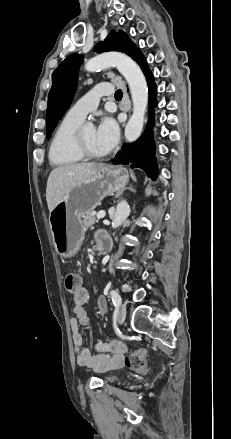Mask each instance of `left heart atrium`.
<instances>
[{
    "label": "left heart atrium",
    "mask_w": 231,
    "mask_h": 439,
    "mask_svg": "<svg viewBox=\"0 0 231 439\" xmlns=\"http://www.w3.org/2000/svg\"><path fill=\"white\" fill-rule=\"evenodd\" d=\"M95 138L104 153L110 152L119 138V128L116 121L108 116L103 117L95 130Z\"/></svg>",
    "instance_id": "obj_1"
}]
</instances>
